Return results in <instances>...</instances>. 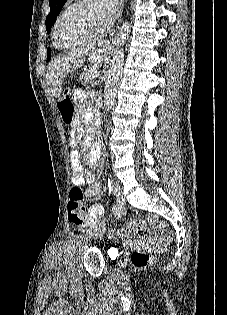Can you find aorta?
Masks as SVG:
<instances>
[{"instance_id": "1", "label": "aorta", "mask_w": 227, "mask_h": 315, "mask_svg": "<svg viewBox=\"0 0 227 315\" xmlns=\"http://www.w3.org/2000/svg\"><path fill=\"white\" fill-rule=\"evenodd\" d=\"M125 40L126 36L122 35L117 37L114 41V54L107 71L104 87V107L107 111L110 110L113 104L118 86L121 81L122 67L124 62L123 44Z\"/></svg>"}]
</instances>
